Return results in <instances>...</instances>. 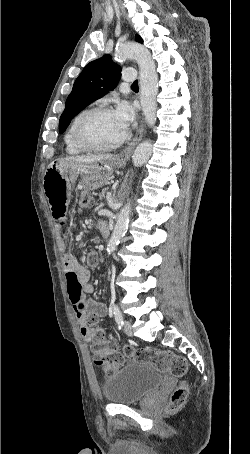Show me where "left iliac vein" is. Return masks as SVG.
<instances>
[{
	"label": "left iliac vein",
	"instance_id": "1",
	"mask_svg": "<svg viewBox=\"0 0 250 454\" xmlns=\"http://www.w3.org/2000/svg\"><path fill=\"white\" fill-rule=\"evenodd\" d=\"M123 330H124L125 334H127L128 336H132L133 331H132V325H131L130 321H128V320L124 321Z\"/></svg>",
	"mask_w": 250,
	"mask_h": 454
}]
</instances>
